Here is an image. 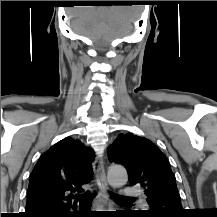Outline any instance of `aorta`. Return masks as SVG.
I'll use <instances>...</instances> for the list:
<instances>
[{
    "label": "aorta",
    "mask_w": 217,
    "mask_h": 217,
    "mask_svg": "<svg viewBox=\"0 0 217 217\" xmlns=\"http://www.w3.org/2000/svg\"><path fill=\"white\" fill-rule=\"evenodd\" d=\"M107 179L112 187L124 186L128 181L127 171L123 166L112 165L108 169Z\"/></svg>",
    "instance_id": "762f6f07"
}]
</instances>
